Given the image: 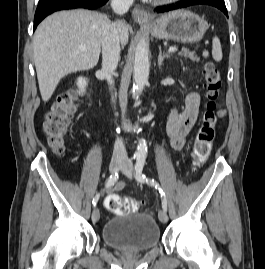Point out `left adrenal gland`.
I'll use <instances>...</instances> for the list:
<instances>
[{"label":"left adrenal gland","mask_w":265,"mask_h":269,"mask_svg":"<svg viewBox=\"0 0 265 269\" xmlns=\"http://www.w3.org/2000/svg\"><path fill=\"white\" fill-rule=\"evenodd\" d=\"M170 55L168 53H162L161 47H159V55H158V66L159 68L163 64L164 59L169 58Z\"/></svg>","instance_id":"a2214340"}]
</instances>
